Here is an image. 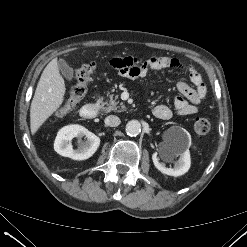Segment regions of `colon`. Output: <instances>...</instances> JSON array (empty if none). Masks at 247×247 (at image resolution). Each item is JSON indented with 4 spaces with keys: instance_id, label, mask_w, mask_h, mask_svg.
<instances>
[{
    "instance_id": "obj_1",
    "label": "colon",
    "mask_w": 247,
    "mask_h": 247,
    "mask_svg": "<svg viewBox=\"0 0 247 247\" xmlns=\"http://www.w3.org/2000/svg\"><path fill=\"white\" fill-rule=\"evenodd\" d=\"M95 70L94 63L82 64L75 72L74 83L69 90V96L60 112L65 114L72 110L75 105L83 99L87 90V83ZM194 131L198 135H205L211 129V124L208 119L200 117L194 122Z\"/></svg>"
}]
</instances>
